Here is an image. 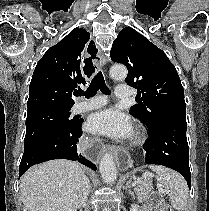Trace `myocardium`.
Returning <instances> with one entry per match:
<instances>
[{
	"instance_id": "1",
	"label": "myocardium",
	"mask_w": 209,
	"mask_h": 211,
	"mask_svg": "<svg viewBox=\"0 0 209 211\" xmlns=\"http://www.w3.org/2000/svg\"><path fill=\"white\" fill-rule=\"evenodd\" d=\"M144 139H145V133L141 128H139L137 129V131L133 136L132 144L133 145L141 144L144 141Z\"/></svg>"
}]
</instances>
